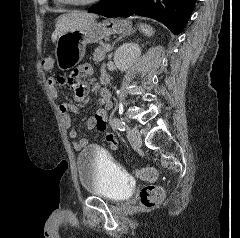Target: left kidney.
I'll return each mask as SVG.
<instances>
[{
	"mask_svg": "<svg viewBox=\"0 0 240 238\" xmlns=\"http://www.w3.org/2000/svg\"><path fill=\"white\" fill-rule=\"evenodd\" d=\"M141 55L138 44L124 43L114 53V63L120 71H126Z\"/></svg>",
	"mask_w": 240,
	"mask_h": 238,
	"instance_id": "obj_1",
	"label": "left kidney"
}]
</instances>
